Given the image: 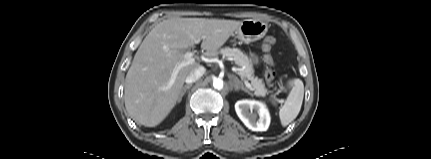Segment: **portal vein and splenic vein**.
I'll use <instances>...</instances> for the list:
<instances>
[{
    "label": "portal vein and splenic vein",
    "instance_id": "portal-vein-and-splenic-vein-1",
    "mask_svg": "<svg viewBox=\"0 0 431 159\" xmlns=\"http://www.w3.org/2000/svg\"><path fill=\"white\" fill-rule=\"evenodd\" d=\"M203 38H204V37H199V38L195 39V40H194V42H195L196 44H198V43H200L201 39H203ZM193 56H194V51H187V52L184 54V59H185V61H184L183 63H181V64H180V65L175 69V71H174V73H173V75H172V77H171V79H170V81H169L168 85L166 86V89L171 88V87H172V85L174 84L175 77H176V74H177L178 69H180V68H181V67H183V66H186V65H189V64H192V63H194V62H195V58H194ZM244 83H245V85H246V87H247V88H249L250 90H253L252 85H251L247 80H244Z\"/></svg>",
    "mask_w": 431,
    "mask_h": 159
}]
</instances>
